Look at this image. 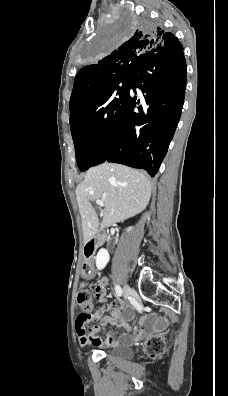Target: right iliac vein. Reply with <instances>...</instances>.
<instances>
[{
	"label": "right iliac vein",
	"mask_w": 228,
	"mask_h": 396,
	"mask_svg": "<svg viewBox=\"0 0 228 396\" xmlns=\"http://www.w3.org/2000/svg\"><path fill=\"white\" fill-rule=\"evenodd\" d=\"M131 295V288L126 284L123 288V296L124 299L127 300L129 296Z\"/></svg>",
	"instance_id": "1"
}]
</instances>
